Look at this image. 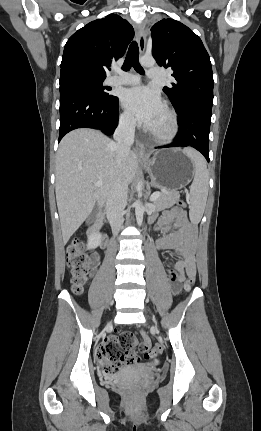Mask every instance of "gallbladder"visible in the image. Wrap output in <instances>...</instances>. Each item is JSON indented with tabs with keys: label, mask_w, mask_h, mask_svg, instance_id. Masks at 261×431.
<instances>
[{
	"label": "gallbladder",
	"mask_w": 261,
	"mask_h": 431,
	"mask_svg": "<svg viewBox=\"0 0 261 431\" xmlns=\"http://www.w3.org/2000/svg\"><path fill=\"white\" fill-rule=\"evenodd\" d=\"M98 208H95L92 212V218L95 217L96 213H97Z\"/></svg>",
	"instance_id": "bac80fb5"
}]
</instances>
